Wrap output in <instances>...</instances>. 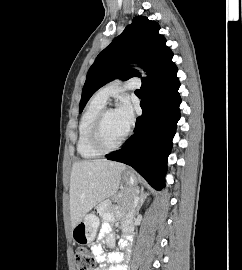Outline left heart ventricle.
Here are the masks:
<instances>
[{
	"mask_svg": "<svg viewBox=\"0 0 242 270\" xmlns=\"http://www.w3.org/2000/svg\"><path fill=\"white\" fill-rule=\"evenodd\" d=\"M118 114L116 111L110 112L104 121L102 139L107 146L116 144L126 133Z\"/></svg>",
	"mask_w": 242,
	"mask_h": 270,
	"instance_id": "obj_1",
	"label": "left heart ventricle"
}]
</instances>
